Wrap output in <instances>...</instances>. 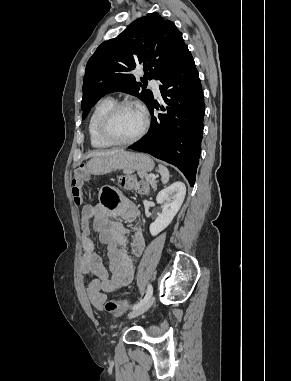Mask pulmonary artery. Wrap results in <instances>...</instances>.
Wrapping results in <instances>:
<instances>
[{"label":"pulmonary artery","mask_w":291,"mask_h":381,"mask_svg":"<svg viewBox=\"0 0 291 381\" xmlns=\"http://www.w3.org/2000/svg\"><path fill=\"white\" fill-rule=\"evenodd\" d=\"M150 85H151V87H152L154 93H155L156 95H158L159 92H160V90H159V81H158V80H155V79H152V80H150Z\"/></svg>","instance_id":"1"}]
</instances>
